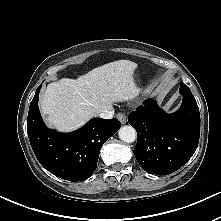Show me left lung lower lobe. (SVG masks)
<instances>
[{"label": "left lung lower lobe", "mask_w": 221, "mask_h": 221, "mask_svg": "<svg viewBox=\"0 0 221 221\" xmlns=\"http://www.w3.org/2000/svg\"><path fill=\"white\" fill-rule=\"evenodd\" d=\"M183 102L179 111L167 114L153 99L144 101L128 116L137 131L134 154L142 168L152 174L168 175L181 168L197 149L200 113L187 85L180 83Z\"/></svg>", "instance_id": "obj_1"}]
</instances>
